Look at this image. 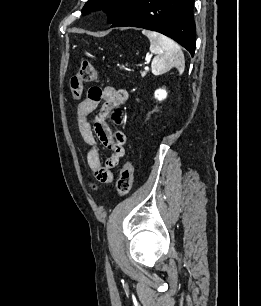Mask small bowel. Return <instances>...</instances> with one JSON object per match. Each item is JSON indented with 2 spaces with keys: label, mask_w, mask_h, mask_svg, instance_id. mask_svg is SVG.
<instances>
[{
  "label": "small bowel",
  "mask_w": 261,
  "mask_h": 306,
  "mask_svg": "<svg viewBox=\"0 0 261 306\" xmlns=\"http://www.w3.org/2000/svg\"><path fill=\"white\" fill-rule=\"evenodd\" d=\"M127 99L128 93L124 89H115L110 86L105 88L92 87L86 98L77 106L78 130L83 141L89 146L86 154L87 163L94 178L102 183H110L113 180L112 170L125 155L127 143L126 135L121 131L112 132L106 119L110 118L114 125H121L124 121V115L120 107ZM100 102L102 105L92 125L90 116ZM98 141L110 151V156L105 164H102L100 160Z\"/></svg>",
  "instance_id": "obj_1"
}]
</instances>
